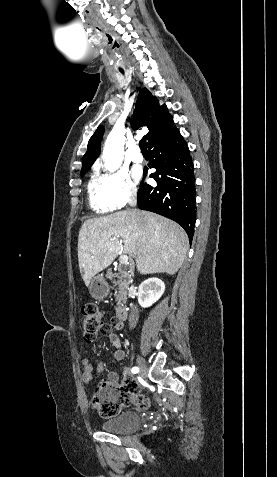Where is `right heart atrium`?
I'll use <instances>...</instances> for the list:
<instances>
[{"label":"right heart atrium","instance_id":"right-heart-atrium-1","mask_svg":"<svg viewBox=\"0 0 277 477\" xmlns=\"http://www.w3.org/2000/svg\"><path fill=\"white\" fill-rule=\"evenodd\" d=\"M100 180L104 197L112 210L123 208L137 195V187L125 170L104 173Z\"/></svg>","mask_w":277,"mask_h":477}]
</instances>
